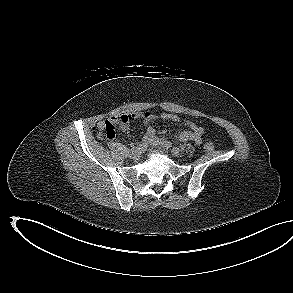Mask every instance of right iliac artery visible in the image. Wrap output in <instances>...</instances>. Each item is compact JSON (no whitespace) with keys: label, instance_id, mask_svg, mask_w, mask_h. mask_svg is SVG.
Instances as JSON below:
<instances>
[{"label":"right iliac artery","instance_id":"1","mask_svg":"<svg viewBox=\"0 0 293 293\" xmlns=\"http://www.w3.org/2000/svg\"><path fill=\"white\" fill-rule=\"evenodd\" d=\"M146 147H147V144L146 143H142V144H138L135 148L136 149H145Z\"/></svg>","mask_w":293,"mask_h":293}]
</instances>
